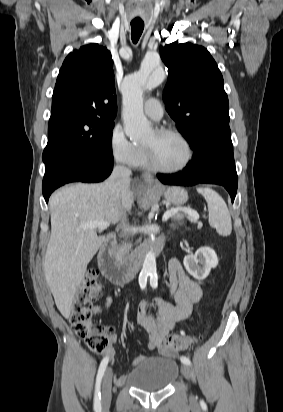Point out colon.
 Returning <instances> with one entry per match:
<instances>
[{"mask_svg": "<svg viewBox=\"0 0 283 412\" xmlns=\"http://www.w3.org/2000/svg\"><path fill=\"white\" fill-rule=\"evenodd\" d=\"M99 285V270L92 268L77 288L66 312L74 334L95 353L104 352L110 340V335L106 330L95 326L91 319L92 305L97 296ZM196 340L194 337L171 335L166 339L165 345L168 351L181 352L190 348Z\"/></svg>", "mask_w": 283, "mask_h": 412, "instance_id": "obj_1", "label": "colon"}]
</instances>
